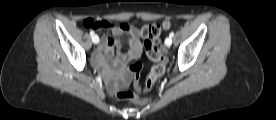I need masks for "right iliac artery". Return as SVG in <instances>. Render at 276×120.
<instances>
[{
	"label": "right iliac artery",
	"mask_w": 276,
	"mask_h": 120,
	"mask_svg": "<svg viewBox=\"0 0 276 120\" xmlns=\"http://www.w3.org/2000/svg\"><path fill=\"white\" fill-rule=\"evenodd\" d=\"M90 35H91V37H94L95 36L94 31H90ZM93 41H95V40H93ZM96 42H99V37L97 38Z\"/></svg>",
	"instance_id": "obj_1"
}]
</instances>
